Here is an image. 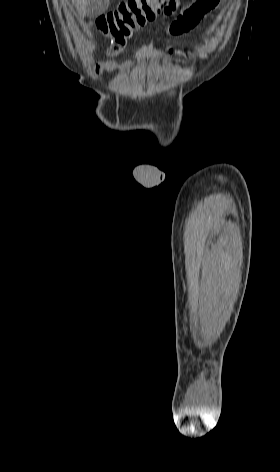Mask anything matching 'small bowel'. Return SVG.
<instances>
[{
	"label": "small bowel",
	"mask_w": 280,
	"mask_h": 472,
	"mask_svg": "<svg viewBox=\"0 0 280 472\" xmlns=\"http://www.w3.org/2000/svg\"><path fill=\"white\" fill-rule=\"evenodd\" d=\"M208 0H187L179 8L178 16L170 23L168 33L172 36H179L192 30L203 19V17L217 6L219 1L212 8H207L205 3ZM170 52H173L170 49ZM134 66L132 60L124 63H117L113 60L100 62L95 66V72L100 74L102 72L120 71L122 73L129 72Z\"/></svg>",
	"instance_id": "small-bowel-1"
}]
</instances>
